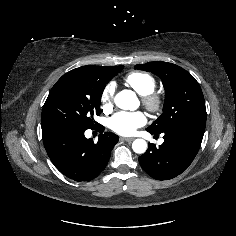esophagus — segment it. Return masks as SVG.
<instances>
[{
    "label": "esophagus",
    "mask_w": 236,
    "mask_h": 236,
    "mask_svg": "<svg viewBox=\"0 0 236 236\" xmlns=\"http://www.w3.org/2000/svg\"><path fill=\"white\" fill-rule=\"evenodd\" d=\"M120 139H121L122 141H126V142H131V141L134 140L133 137H130V138L121 137Z\"/></svg>",
    "instance_id": "34e87169"
}]
</instances>
